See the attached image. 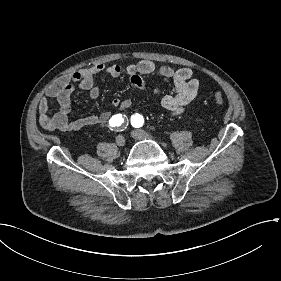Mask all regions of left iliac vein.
Listing matches in <instances>:
<instances>
[{"label":"left iliac vein","instance_id":"1","mask_svg":"<svg viewBox=\"0 0 281 281\" xmlns=\"http://www.w3.org/2000/svg\"><path fill=\"white\" fill-rule=\"evenodd\" d=\"M132 137L137 140L154 139V137L142 129L132 131ZM162 144V143H161Z\"/></svg>","mask_w":281,"mask_h":281}]
</instances>
